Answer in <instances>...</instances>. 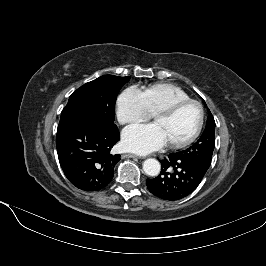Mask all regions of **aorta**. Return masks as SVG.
I'll return each mask as SVG.
<instances>
[{
  "label": "aorta",
  "mask_w": 266,
  "mask_h": 266,
  "mask_svg": "<svg viewBox=\"0 0 266 266\" xmlns=\"http://www.w3.org/2000/svg\"><path fill=\"white\" fill-rule=\"evenodd\" d=\"M161 165L158 160L149 158L143 162V171L148 176H157L160 173Z\"/></svg>",
  "instance_id": "762f6f07"
}]
</instances>
